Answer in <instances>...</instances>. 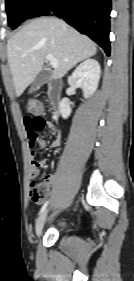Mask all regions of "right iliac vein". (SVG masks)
Wrapping results in <instances>:
<instances>
[{"instance_id":"obj_1","label":"right iliac vein","mask_w":134,"mask_h":281,"mask_svg":"<svg viewBox=\"0 0 134 281\" xmlns=\"http://www.w3.org/2000/svg\"><path fill=\"white\" fill-rule=\"evenodd\" d=\"M47 215H48V209L44 210L41 213V215L39 216V218L37 219L36 227H35L36 236H40L44 223L46 221Z\"/></svg>"}]
</instances>
